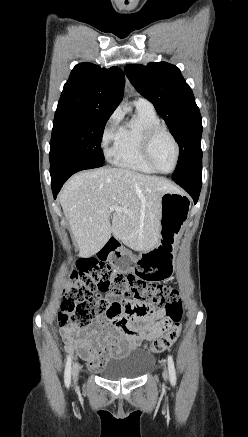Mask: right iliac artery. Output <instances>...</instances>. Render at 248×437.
<instances>
[{
    "instance_id": "1",
    "label": "right iliac artery",
    "mask_w": 248,
    "mask_h": 437,
    "mask_svg": "<svg viewBox=\"0 0 248 437\" xmlns=\"http://www.w3.org/2000/svg\"><path fill=\"white\" fill-rule=\"evenodd\" d=\"M71 362H72V358L69 355L67 357V362H66V366H65V374H64L65 385L67 387H69L70 382H71Z\"/></svg>"
}]
</instances>
